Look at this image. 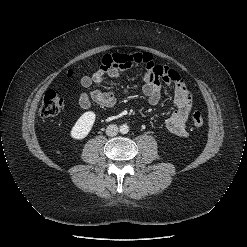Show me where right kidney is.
<instances>
[{"mask_svg": "<svg viewBox=\"0 0 247 247\" xmlns=\"http://www.w3.org/2000/svg\"><path fill=\"white\" fill-rule=\"evenodd\" d=\"M95 118L96 114L93 111L82 114L72 127L70 136L76 140L84 139L91 131Z\"/></svg>", "mask_w": 247, "mask_h": 247, "instance_id": "1", "label": "right kidney"}]
</instances>
